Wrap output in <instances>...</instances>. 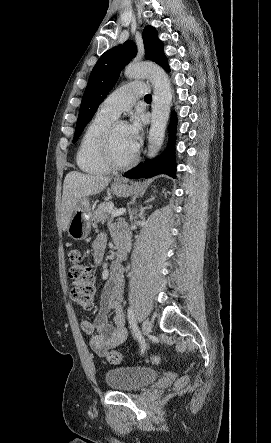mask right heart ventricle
<instances>
[{
    "instance_id": "right-heart-ventricle-1",
    "label": "right heart ventricle",
    "mask_w": 271,
    "mask_h": 443,
    "mask_svg": "<svg viewBox=\"0 0 271 443\" xmlns=\"http://www.w3.org/2000/svg\"><path fill=\"white\" fill-rule=\"evenodd\" d=\"M114 119L97 112L86 125L75 156L76 164L82 172L101 175L110 170L103 158L102 142L108 126Z\"/></svg>"
}]
</instances>
